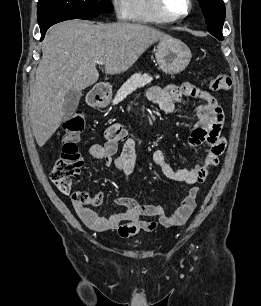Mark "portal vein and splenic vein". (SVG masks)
I'll use <instances>...</instances> for the list:
<instances>
[{
    "label": "portal vein and splenic vein",
    "mask_w": 261,
    "mask_h": 306,
    "mask_svg": "<svg viewBox=\"0 0 261 306\" xmlns=\"http://www.w3.org/2000/svg\"><path fill=\"white\" fill-rule=\"evenodd\" d=\"M97 64H98L99 66H102V65L105 64V60H104V59H99V60L97 61Z\"/></svg>",
    "instance_id": "portal-vein-and-splenic-vein-1"
}]
</instances>
